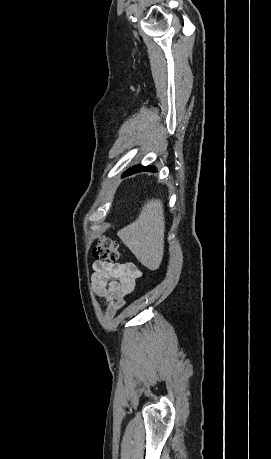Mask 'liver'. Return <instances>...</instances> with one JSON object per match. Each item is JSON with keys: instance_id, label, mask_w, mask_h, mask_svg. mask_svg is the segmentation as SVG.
Wrapping results in <instances>:
<instances>
[{"instance_id": "1", "label": "liver", "mask_w": 271, "mask_h": 459, "mask_svg": "<svg viewBox=\"0 0 271 459\" xmlns=\"http://www.w3.org/2000/svg\"><path fill=\"white\" fill-rule=\"evenodd\" d=\"M164 229L163 204L160 200H148L138 220L120 229L117 235L145 267L158 269L163 259Z\"/></svg>"}]
</instances>
